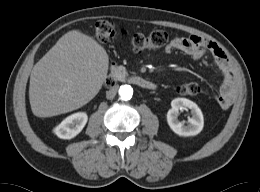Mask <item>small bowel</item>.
<instances>
[{"label": "small bowel", "mask_w": 260, "mask_h": 192, "mask_svg": "<svg viewBox=\"0 0 260 192\" xmlns=\"http://www.w3.org/2000/svg\"><path fill=\"white\" fill-rule=\"evenodd\" d=\"M172 51H180L194 60H200L210 53L223 75V82L214 98L222 108H228L233 103L237 94L235 75L227 56L216 43L197 35L175 37L166 47L167 53Z\"/></svg>", "instance_id": "1"}]
</instances>
